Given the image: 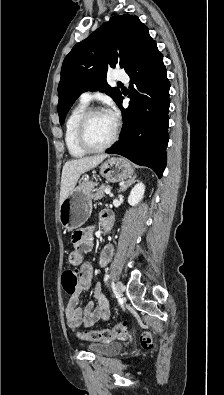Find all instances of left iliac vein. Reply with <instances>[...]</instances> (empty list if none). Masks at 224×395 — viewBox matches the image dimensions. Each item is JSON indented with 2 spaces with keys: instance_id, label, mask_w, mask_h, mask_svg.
Wrapping results in <instances>:
<instances>
[{
  "instance_id": "4c4485c4",
  "label": "left iliac vein",
  "mask_w": 224,
  "mask_h": 395,
  "mask_svg": "<svg viewBox=\"0 0 224 395\" xmlns=\"http://www.w3.org/2000/svg\"><path fill=\"white\" fill-rule=\"evenodd\" d=\"M115 287H116V294L119 297H121L123 295V292H124V286H123L122 282L117 281Z\"/></svg>"
}]
</instances>
